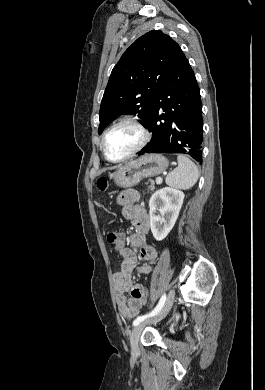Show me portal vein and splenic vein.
<instances>
[{"label": "portal vein and splenic vein", "instance_id": "18ae733b", "mask_svg": "<svg viewBox=\"0 0 265 390\" xmlns=\"http://www.w3.org/2000/svg\"><path fill=\"white\" fill-rule=\"evenodd\" d=\"M156 183H157V184H161V183H162V178H161V177H158V178L156 179Z\"/></svg>", "mask_w": 265, "mask_h": 390}]
</instances>
